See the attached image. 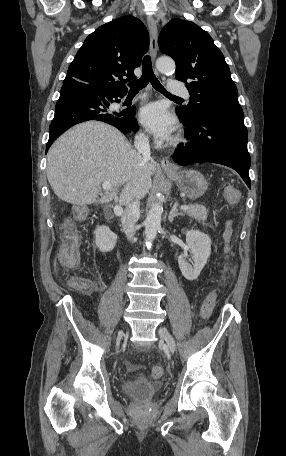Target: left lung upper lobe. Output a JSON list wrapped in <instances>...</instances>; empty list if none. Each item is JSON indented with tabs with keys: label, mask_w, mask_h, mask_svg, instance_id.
I'll return each instance as SVG.
<instances>
[{
	"label": "left lung upper lobe",
	"mask_w": 286,
	"mask_h": 456,
	"mask_svg": "<svg viewBox=\"0 0 286 456\" xmlns=\"http://www.w3.org/2000/svg\"><path fill=\"white\" fill-rule=\"evenodd\" d=\"M159 48L175 60L176 78L189 90V104L176 107L182 116L194 120L202 112H218L244 119L229 67L206 31L174 18L160 32Z\"/></svg>",
	"instance_id": "1"
}]
</instances>
